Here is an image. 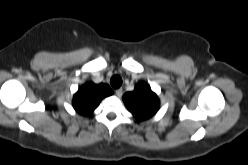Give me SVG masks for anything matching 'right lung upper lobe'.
<instances>
[{
	"mask_svg": "<svg viewBox=\"0 0 248 165\" xmlns=\"http://www.w3.org/2000/svg\"><path fill=\"white\" fill-rule=\"evenodd\" d=\"M112 94L108 85L88 82L73 96V107L82 115H90L104 97Z\"/></svg>",
	"mask_w": 248,
	"mask_h": 165,
	"instance_id": "right-lung-upper-lobe-1",
	"label": "right lung upper lobe"
}]
</instances>
